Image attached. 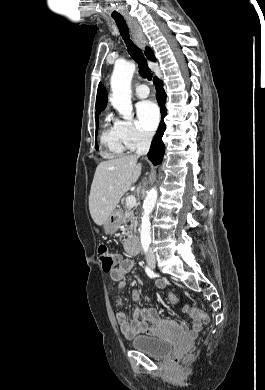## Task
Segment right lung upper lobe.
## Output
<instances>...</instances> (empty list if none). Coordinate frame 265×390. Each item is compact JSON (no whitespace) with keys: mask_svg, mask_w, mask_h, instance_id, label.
<instances>
[{"mask_svg":"<svg viewBox=\"0 0 265 390\" xmlns=\"http://www.w3.org/2000/svg\"><path fill=\"white\" fill-rule=\"evenodd\" d=\"M145 53L149 60L151 61L156 60L153 51L150 48L147 47ZM107 101H108L107 91L103 86V84L100 83L98 86L97 98H96V117H98L101 111L104 110V108L107 105Z\"/></svg>","mask_w":265,"mask_h":390,"instance_id":"cb5924a9","label":"right lung upper lobe"}]
</instances>
